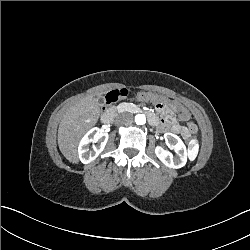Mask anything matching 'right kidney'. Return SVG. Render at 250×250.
<instances>
[{
    "instance_id": "ca27d5eb",
    "label": "right kidney",
    "mask_w": 250,
    "mask_h": 250,
    "mask_svg": "<svg viewBox=\"0 0 250 250\" xmlns=\"http://www.w3.org/2000/svg\"><path fill=\"white\" fill-rule=\"evenodd\" d=\"M96 131L95 133H93ZM108 141V134L102 133L98 127L88 130L81 138L78 145V157L81 163L87 164L93 161L104 149ZM93 142L92 149L89 150V144Z\"/></svg>"
}]
</instances>
